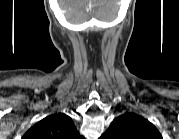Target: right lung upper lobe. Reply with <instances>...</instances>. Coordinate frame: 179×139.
Here are the masks:
<instances>
[{"mask_svg":"<svg viewBox=\"0 0 179 139\" xmlns=\"http://www.w3.org/2000/svg\"><path fill=\"white\" fill-rule=\"evenodd\" d=\"M24 139H82L72 119L63 113L45 117L32 126Z\"/></svg>","mask_w":179,"mask_h":139,"instance_id":"right-lung-upper-lobe-1","label":"right lung upper lobe"}]
</instances>
